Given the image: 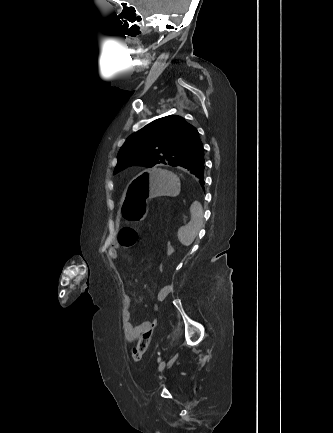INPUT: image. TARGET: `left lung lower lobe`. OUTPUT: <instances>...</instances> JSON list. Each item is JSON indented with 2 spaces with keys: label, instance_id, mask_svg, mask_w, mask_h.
Returning <instances> with one entry per match:
<instances>
[{
  "label": "left lung lower lobe",
  "instance_id": "0a47b994",
  "mask_svg": "<svg viewBox=\"0 0 333 433\" xmlns=\"http://www.w3.org/2000/svg\"><path fill=\"white\" fill-rule=\"evenodd\" d=\"M204 148L203 144L188 158H186L179 167L193 174L199 179V182L204 186Z\"/></svg>",
  "mask_w": 333,
  "mask_h": 433
}]
</instances>
